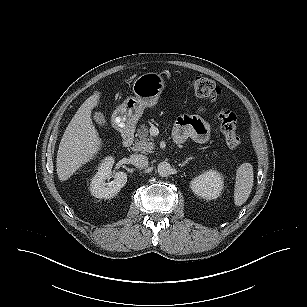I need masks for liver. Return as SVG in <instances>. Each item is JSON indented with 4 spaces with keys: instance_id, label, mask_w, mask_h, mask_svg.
Segmentation results:
<instances>
[{
    "instance_id": "1",
    "label": "liver",
    "mask_w": 307,
    "mask_h": 307,
    "mask_svg": "<svg viewBox=\"0 0 307 307\" xmlns=\"http://www.w3.org/2000/svg\"><path fill=\"white\" fill-rule=\"evenodd\" d=\"M100 92L91 95L80 106L68 124L56 158L60 181L68 180L100 150L102 141L91 119L92 109L99 104Z\"/></svg>"
}]
</instances>
